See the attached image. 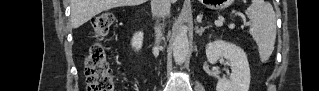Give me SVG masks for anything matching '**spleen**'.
Instances as JSON below:
<instances>
[{
    "mask_svg": "<svg viewBox=\"0 0 319 91\" xmlns=\"http://www.w3.org/2000/svg\"><path fill=\"white\" fill-rule=\"evenodd\" d=\"M251 21L249 32L258 46L260 60L270 58L276 39V17L272 5L264 0H253L246 10Z\"/></svg>",
    "mask_w": 319,
    "mask_h": 91,
    "instance_id": "spleen-1",
    "label": "spleen"
}]
</instances>
